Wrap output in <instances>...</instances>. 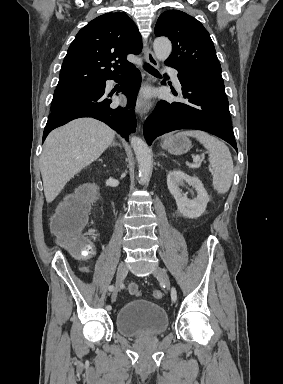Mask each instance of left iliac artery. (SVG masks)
Segmentation results:
<instances>
[{
  "label": "left iliac artery",
  "instance_id": "obj_1",
  "mask_svg": "<svg viewBox=\"0 0 283 384\" xmlns=\"http://www.w3.org/2000/svg\"><path fill=\"white\" fill-rule=\"evenodd\" d=\"M171 298H172V301L176 302L177 292H176V289L174 287L171 288Z\"/></svg>",
  "mask_w": 283,
  "mask_h": 384
}]
</instances>
